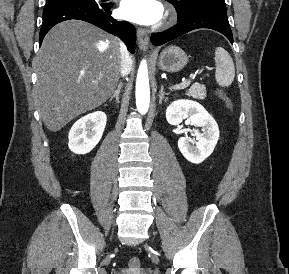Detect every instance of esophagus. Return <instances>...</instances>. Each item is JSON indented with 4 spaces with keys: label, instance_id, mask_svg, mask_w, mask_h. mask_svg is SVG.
<instances>
[{
    "label": "esophagus",
    "instance_id": "obj_1",
    "mask_svg": "<svg viewBox=\"0 0 289 274\" xmlns=\"http://www.w3.org/2000/svg\"><path fill=\"white\" fill-rule=\"evenodd\" d=\"M137 40L140 49L143 51H147L149 47V36L144 29L142 28L137 29Z\"/></svg>",
    "mask_w": 289,
    "mask_h": 274
}]
</instances>
